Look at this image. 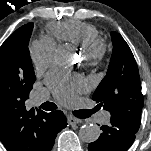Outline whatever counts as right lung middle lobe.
<instances>
[{
	"label": "right lung middle lobe",
	"instance_id": "obj_1",
	"mask_svg": "<svg viewBox=\"0 0 151 151\" xmlns=\"http://www.w3.org/2000/svg\"><path fill=\"white\" fill-rule=\"evenodd\" d=\"M33 23L21 26L0 47V94L31 91L35 74L29 55Z\"/></svg>",
	"mask_w": 151,
	"mask_h": 151
}]
</instances>
